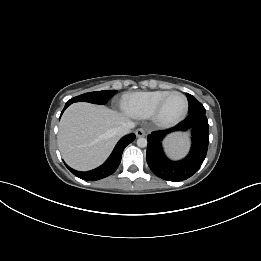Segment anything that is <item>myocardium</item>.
Here are the masks:
<instances>
[{"instance_id": "1", "label": "myocardium", "mask_w": 261, "mask_h": 261, "mask_svg": "<svg viewBox=\"0 0 261 261\" xmlns=\"http://www.w3.org/2000/svg\"><path fill=\"white\" fill-rule=\"evenodd\" d=\"M175 94L180 95L184 99V102H185L184 109H183L182 113L175 119H172V120L163 119L161 116L162 107H163L165 101L170 96L175 95ZM188 110H189V102H188L186 95L179 91H170L165 96H163L161 98V100L158 102L151 117H152L153 122L157 126H159L161 128H170V127L176 126L177 124L182 122L185 119V117L188 113Z\"/></svg>"}]
</instances>
